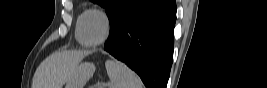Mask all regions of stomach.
I'll return each instance as SVG.
<instances>
[{"label":"stomach","mask_w":267,"mask_h":88,"mask_svg":"<svg viewBox=\"0 0 267 88\" xmlns=\"http://www.w3.org/2000/svg\"><path fill=\"white\" fill-rule=\"evenodd\" d=\"M95 69L93 63H81L67 81L65 88H84L86 82L93 76Z\"/></svg>","instance_id":"0dacf381"}]
</instances>
